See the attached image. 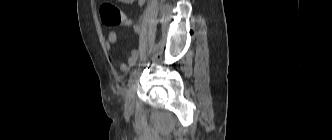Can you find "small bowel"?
<instances>
[{
	"instance_id": "c3829d8e",
	"label": "small bowel",
	"mask_w": 332,
	"mask_h": 140,
	"mask_svg": "<svg viewBox=\"0 0 332 140\" xmlns=\"http://www.w3.org/2000/svg\"><path fill=\"white\" fill-rule=\"evenodd\" d=\"M119 2L123 4H136L137 7H141L144 5L146 0H118ZM117 42V34L115 31H109L107 35V40H106V48L111 49ZM139 57V52L138 50H133L131 52V55L128 58L127 63H120L119 64V69L121 72H126L128 71L131 67H133Z\"/></svg>"
}]
</instances>
